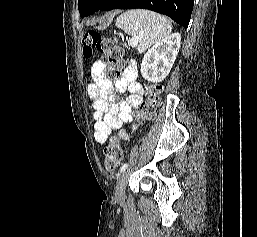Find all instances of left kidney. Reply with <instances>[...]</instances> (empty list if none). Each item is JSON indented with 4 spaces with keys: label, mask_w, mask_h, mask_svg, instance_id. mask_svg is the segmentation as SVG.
<instances>
[{
    "label": "left kidney",
    "mask_w": 257,
    "mask_h": 237,
    "mask_svg": "<svg viewBox=\"0 0 257 237\" xmlns=\"http://www.w3.org/2000/svg\"><path fill=\"white\" fill-rule=\"evenodd\" d=\"M181 35L174 33L158 42L144 55L141 74L153 83L163 81L169 74L180 48Z\"/></svg>",
    "instance_id": "5707ae66"
}]
</instances>
